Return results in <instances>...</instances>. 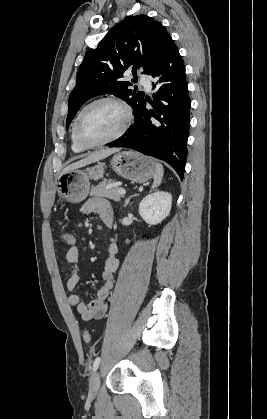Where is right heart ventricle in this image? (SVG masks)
Segmentation results:
<instances>
[{
  "instance_id": "1",
  "label": "right heart ventricle",
  "mask_w": 267,
  "mask_h": 419,
  "mask_svg": "<svg viewBox=\"0 0 267 419\" xmlns=\"http://www.w3.org/2000/svg\"><path fill=\"white\" fill-rule=\"evenodd\" d=\"M72 149H73V151H75L77 153H81V152L85 151V148L81 147L77 143V141L75 140L73 130H72Z\"/></svg>"
}]
</instances>
